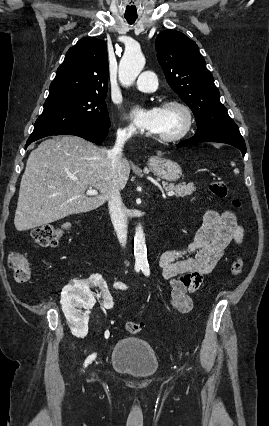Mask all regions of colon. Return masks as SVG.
<instances>
[{
    "label": "colon",
    "instance_id": "colon-1",
    "mask_svg": "<svg viewBox=\"0 0 269 426\" xmlns=\"http://www.w3.org/2000/svg\"><path fill=\"white\" fill-rule=\"evenodd\" d=\"M211 194L218 198H225L227 196V187L224 182L212 181L208 185ZM234 207H239L240 202L236 199L232 200ZM68 229L66 223L59 225H42L35 229L31 235L35 244L39 247H54L58 244L59 240ZM7 263L14 274V278L18 282H26L31 277V264L28 258L20 253L12 252L7 257ZM244 262L241 258H237L231 264V274L237 276L241 273ZM142 325L137 322H128L126 330L130 334H137L141 331Z\"/></svg>",
    "mask_w": 269,
    "mask_h": 426
}]
</instances>
